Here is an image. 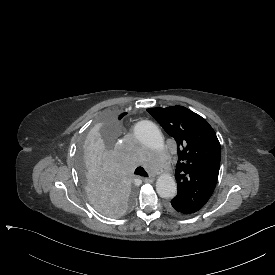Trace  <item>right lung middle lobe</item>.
Returning <instances> with one entry per match:
<instances>
[{
  "label": "right lung middle lobe",
  "mask_w": 275,
  "mask_h": 275,
  "mask_svg": "<svg viewBox=\"0 0 275 275\" xmlns=\"http://www.w3.org/2000/svg\"><path fill=\"white\" fill-rule=\"evenodd\" d=\"M121 127L122 118L118 113H104L85 132L78 153V174L91 203L112 217L124 215L135 195V187L113 150Z\"/></svg>",
  "instance_id": "1"
}]
</instances>
